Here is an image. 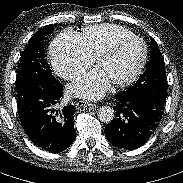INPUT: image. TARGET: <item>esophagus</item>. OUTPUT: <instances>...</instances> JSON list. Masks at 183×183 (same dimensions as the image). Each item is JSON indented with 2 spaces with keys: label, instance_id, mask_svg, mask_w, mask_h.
<instances>
[{
  "label": "esophagus",
  "instance_id": "obj_1",
  "mask_svg": "<svg viewBox=\"0 0 183 183\" xmlns=\"http://www.w3.org/2000/svg\"><path fill=\"white\" fill-rule=\"evenodd\" d=\"M97 106L95 104H91V103H87L84 101H79L76 103V109L79 112H83L85 110H93L95 109Z\"/></svg>",
  "mask_w": 183,
  "mask_h": 183
}]
</instances>
